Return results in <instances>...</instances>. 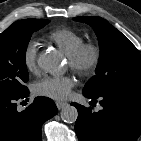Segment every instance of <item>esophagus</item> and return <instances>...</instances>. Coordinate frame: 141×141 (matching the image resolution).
Instances as JSON below:
<instances>
[{
    "instance_id": "esophagus-1",
    "label": "esophagus",
    "mask_w": 141,
    "mask_h": 141,
    "mask_svg": "<svg viewBox=\"0 0 141 141\" xmlns=\"http://www.w3.org/2000/svg\"><path fill=\"white\" fill-rule=\"evenodd\" d=\"M56 106H57V108L59 109V110H61V109H63V108H65V107H67L68 106V103H66V102H56Z\"/></svg>"
}]
</instances>
